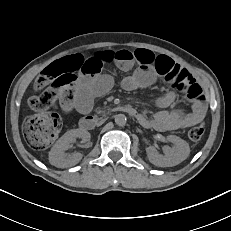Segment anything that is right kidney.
<instances>
[{
  "label": "right kidney",
  "instance_id": "ca27d5eb",
  "mask_svg": "<svg viewBox=\"0 0 231 231\" xmlns=\"http://www.w3.org/2000/svg\"><path fill=\"white\" fill-rule=\"evenodd\" d=\"M77 138H81L83 142L90 139V133L81 129H72L67 131L59 138L49 152V162L59 168L76 165L81 159V153L68 155L65 153L69 149L70 144L74 143Z\"/></svg>",
  "mask_w": 231,
  "mask_h": 231
}]
</instances>
